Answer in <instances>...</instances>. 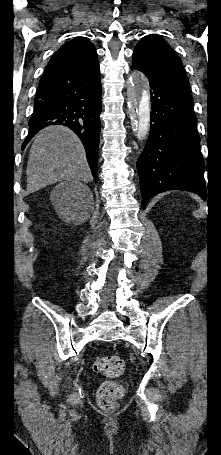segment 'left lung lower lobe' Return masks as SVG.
I'll return each mask as SVG.
<instances>
[{
  "mask_svg": "<svg viewBox=\"0 0 221 455\" xmlns=\"http://www.w3.org/2000/svg\"><path fill=\"white\" fill-rule=\"evenodd\" d=\"M147 78L152 102L150 135L137 161L142 207L168 190L191 191L205 199L204 160L192 97L155 77Z\"/></svg>",
  "mask_w": 221,
  "mask_h": 455,
  "instance_id": "0a47b994",
  "label": "left lung lower lobe"
}]
</instances>
